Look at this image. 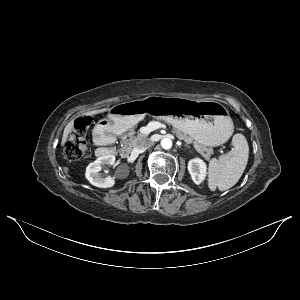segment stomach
Listing matches in <instances>:
<instances>
[{
  "mask_svg": "<svg viewBox=\"0 0 300 300\" xmlns=\"http://www.w3.org/2000/svg\"><path fill=\"white\" fill-rule=\"evenodd\" d=\"M146 115L167 121L206 146L222 145L233 133V122L224 105L183 97L151 96L121 103L111 107L107 119L99 125L106 132L121 134Z\"/></svg>",
  "mask_w": 300,
  "mask_h": 300,
  "instance_id": "0dacf381",
  "label": "stomach"
}]
</instances>
